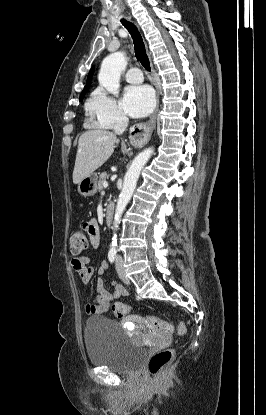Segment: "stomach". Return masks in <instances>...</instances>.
<instances>
[{"label":"stomach","instance_id":"0dacf381","mask_svg":"<svg viewBox=\"0 0 266 415\" xmlns=\"http://www.w3.org/2000/svg\"><path fill=\"white\" fill-rule=\"evenodd\" d=\"M97 191V175L95 173L83 178L78 184V192L85 197L93 196Z\"/></svg>","mask_w":266,"mask_h":415}]
</instances>
